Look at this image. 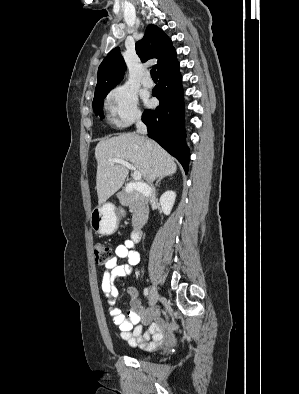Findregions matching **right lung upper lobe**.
<instances>
[{
	"label": "right lung upper lobe",
	"mask_w": 299,
	"mask_h": 394,
	"mask_svg": "<svg viewBox=\"0 0 299 394\" xmlns=\"http://www.w3.org/2000/svg\"><path fill=\"white\" fill-rule=\"evenodd\" d=\"M136 52L142 62L152 58L158 59L155 65L157 72L176 59V51L171 40L162 29L153 24L148 25L144 37L136 42ZM125 69L126 65L119 47L114 48L98 68L95 93L111 90L122 80Z\"/></svg>",
	"instance_id": "1"
}]
</instances>
